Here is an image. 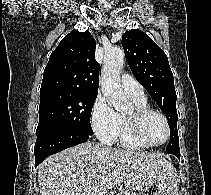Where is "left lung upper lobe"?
<instances>
[{
  "label": "left lung upper lobe",
  "mask_w": 211,
  "mask_h": 195,
  "mask_svg": "<svg viewBox=\"0 0 211 195\" xmlns=\"http://www.w3.org/2000/svg\"><path fill=\"white\" fill-rule=\"evenodd\" d=\"M122 46L136 80L144 86L168 119L170 141L166 151L171 154L180 152L176 91L166 54L149 36L136 29L123 34Z\"/></svg>",
  "instance_id": "left-lung-upper-lobe-1"
}]
</instances>
